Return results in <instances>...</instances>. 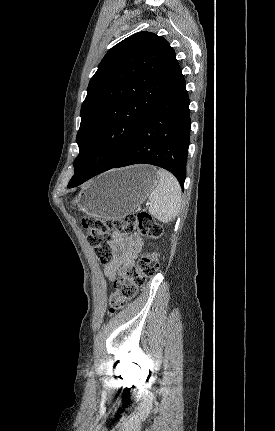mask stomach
Instances as JSON below:
<instances>
[{
	"mask_svg": "<svg viewBox=\"0 0 275 431\" xmlns=\"http://www.w3.org/2000/svg\"><path fill=\"white\" fill-rule=\"evenodd\" d=\"M158 182L151 165L113 169L101 174L71 203L88 216L120 219L140 206Z\"/></svg>",
	"mask_w": 275,
	"mask_h": 431,
	"instance_id": "obj_1",
	"label": "stomach"
}]
</instances>
